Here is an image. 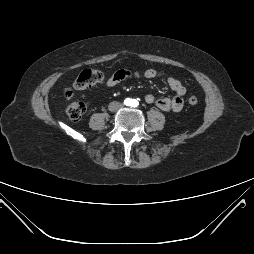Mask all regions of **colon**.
<instances>
[{
  "label": "colon",
  "mask_w": 254,
  "mask_h": 254,
  "mask_svg": "<svg viewBox=\"0 0 254 254\" xmlns=\"http://www.w3.org/2000/svg\"><path fill=\"white\" fill-rule=\"evenodd\" d=\"M105 73L100 70L85 69L83 70L73 83L72 88L65 91L64 95L67 99H72L75 91L85 90L105 80ZM188 103L192 106L198 104V98L190 96ZM87 110L86 104L81 100H72L66 106L67 116L74 121L82 118Z\"/></svg>",
  "instance_id": "5ec220e1"
}]
</instances>
